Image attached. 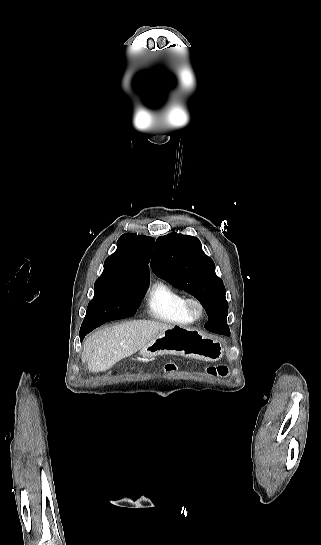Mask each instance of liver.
Here are the masks:
<instances>
[{"label": "liver", "mask_w": 321, "mask_h": 545, "mask_svg": "<svg viewBox=\"0 0 321 545\" xmlns=\"http://www.w3.org/2000/svg\"><path fill=\"white\" fill-rule=\"evenodd\" d=\"M166 329H172V325L157 321H129L101 329L86 339L81 361L88 363L92 373L107 371L122 359L143 349Z\"/></svg>", "instance_id": "obj_1"}]
</instances>
